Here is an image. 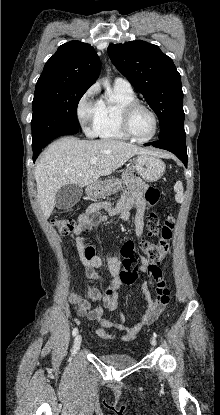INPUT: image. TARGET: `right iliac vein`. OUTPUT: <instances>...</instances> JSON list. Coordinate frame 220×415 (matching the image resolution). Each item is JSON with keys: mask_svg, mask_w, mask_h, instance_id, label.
<instances>
[{"mask_svg": "<svg viewBox=\"0 0 220 415\" xmlns=\"http://www.w3.org/2000/svg\"><path fill=\"white\" fill-rule=\"evenodd\" d=\"M81 342H82V336L78 334L74 339L73 352H77L80 349Z\"/></svg>", "mask_w": 220, "mask_h": 415, "instance_id": "obj_1", "label": "right iliac vein"}]
</instances>
